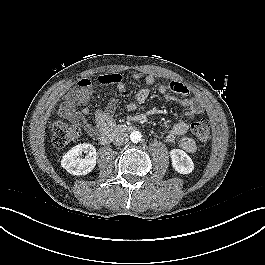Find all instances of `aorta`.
Listing matches in <instances>:
<instances>
[{"instance_id": "aorta-1", "label": "aorta", "mask_w": 265, "mask_h": 265, "mask_svg": "<svg viewBox=\"0 0 265 265\" xmlns=\"http://www.w3.org/2000/svg\"><path fill=\"white\" fill-rule=\"evenodd\" d=\"M141 138H142V135L139 131H133L131 132L130 134V140L133 142V143H138L141 141Z\"/></svg>"}]
</instances>
